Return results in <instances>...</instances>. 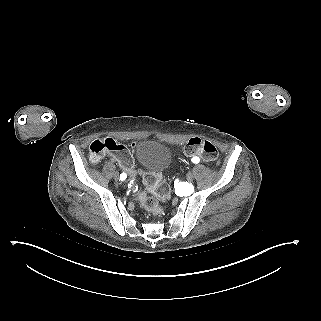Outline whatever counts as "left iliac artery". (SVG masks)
<instances>
[{
    "label": "left iliac artery",
    "instance_id": "left-iliac-artery-1",
    "mask_svg": "<svg viewBox=\"0 0 321 321\" xmlns=\"http://www.w3.org/2000/svg\"><path fill=\"white\" fill-rule=\"evenodd\" d=\"M199 161H200V160H199L197 157H195V158L192 159V162H193V163H199Z\"/></svg>",
    "mask_w": 321,
    "mask_h": 321
}]
</instances>
